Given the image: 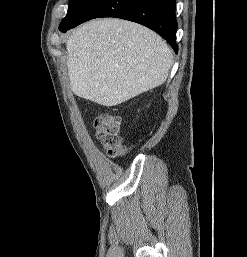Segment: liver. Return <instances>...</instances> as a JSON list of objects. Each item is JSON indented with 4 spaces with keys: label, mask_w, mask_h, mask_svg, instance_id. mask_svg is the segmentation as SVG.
Segmentation results:
<instances>
[{
    "label": "liver",
    "mask_w": 247,
    "mask_h": 257,
    "mask_svg": "<svg viewBox=\"0 0 247 257\" xmlns=\"http://www.w3.org/2000/svg\"><path fill=\"white\" fill-rule=\"evenodd\" d=\"M66 48L74 94L107 107L158 87L173 63L170 48L157 33L121 19L79 26Z\"/></svg>",
    "instance_id": "1"
}]
</instances>
